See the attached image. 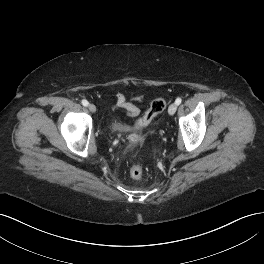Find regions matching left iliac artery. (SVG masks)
Returning <instances> with one entry per match:
<instances>
[{
  "instance_id": "44dca946",
  "label": "left iliac artery",
  "mask_w": 264,
  "mask_h": 264,
  "mask_svg": "<svg viewBox=\"0 0 264 264\" xmlns=\"http://www.w3.org/2000/svg\"><path fill=\"white\" fill-rule=\"evenodd\" d=\"M181 102H182V99H181V98H177V99L175 100V103H176L177 105L181 104Z\"/></svg>"
}]
</instances>
